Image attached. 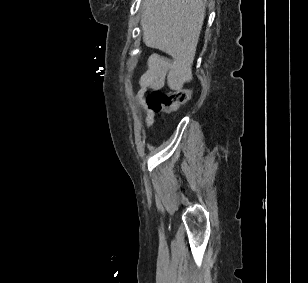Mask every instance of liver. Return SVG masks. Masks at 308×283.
<instances>
[{
  "label": "liver",
  "instance_id": "obj_1",
  "mask_svg": "<svg viewBox=\"0 0 308 283\" xmlns=\"http://www.w3.org/2000/svg\"><path fill=\"white\" fill-rule=\"evenodd\" d=\"M205 2L144 0L140 25L145 45L190 66L205 17Z\"/></svg>",
  "mask_w": 308,
  "mask_h": 283
}]
</instances>
